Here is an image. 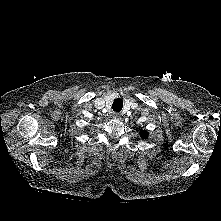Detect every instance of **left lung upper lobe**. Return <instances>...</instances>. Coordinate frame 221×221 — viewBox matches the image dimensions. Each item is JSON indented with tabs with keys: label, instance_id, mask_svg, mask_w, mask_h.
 Here are the masks:
<instances>
[{
	"label": "left lung upper lobe",
	"instance_id": "5c2ea615",
	"mask_svg": "<svg viewBox=\"0 0 221 221\" xmlns=\"http://www.w3.org/2000/svg\"><path fill=\"white\" fill-rule=\"evenodd\" d=\"M147 132L146 131H141V137L142 138H147Z\"/></svg>",
	"mask_w": 221,
	"mask_h": 221
}]
</instances>
